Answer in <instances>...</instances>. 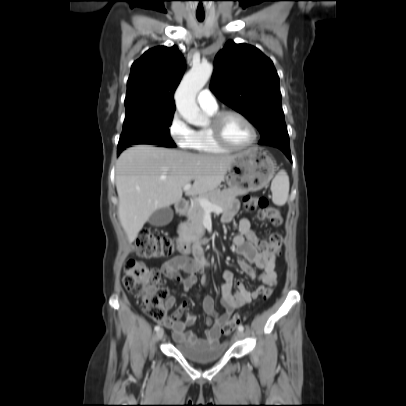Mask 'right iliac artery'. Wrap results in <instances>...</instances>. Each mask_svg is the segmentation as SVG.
I'll return each mask as SVG.
<instances>
[{
    "label": "right iliac artery",
    "mask_w": 406,
    "mask_h": 406,
    "mask_svg": "<svg viewBox=\"0 0 406 406\" xmlns=\"http://www.w3.org/2000/svg\"><path fill=\"white\" fill-rule=\"evenodd\" d=\"M154 330H155V331H159V330H160V326H159V325L155 326Z\"/></svg>",
    "instance_id": "obj_1"
}]
</instances>
